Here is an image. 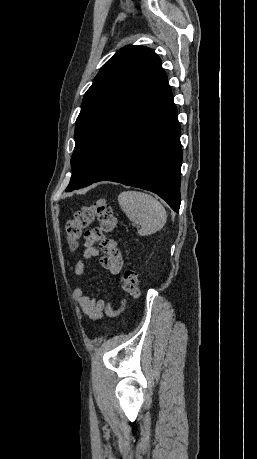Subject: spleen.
I'll return each mask as SVG.
<instances>
[{
  "mask_svg": "<svg viewBox=\"0 0 257 459\" xmlns=\"http://www.w3.org/2000/svg\"><path fill=\"white\" fill-rule=\"evenodd\" d=\"M118 202L126 216L140 226L138 234L147 236L163 228L167 213L164 206L153 196L139 191H124Z\"/></svg>",
  "mask_w": 257,
  "mask_h": 459,
  "instance_id": "obj_1",
  "label": "spleen"
}]
</instances>
